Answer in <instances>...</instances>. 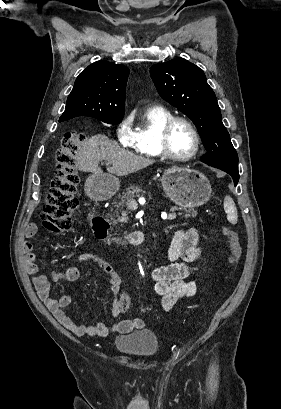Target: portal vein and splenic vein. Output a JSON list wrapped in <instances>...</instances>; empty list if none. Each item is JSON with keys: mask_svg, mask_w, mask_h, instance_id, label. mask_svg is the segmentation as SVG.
<instances>
[{"mask_svg": "<svg viewBox=\"0 0 281 409\" xmlns=\"http://www.w3.org/2000/svg\"><path fill=\"white\" fill-rule=\"evenodd\" d=\"M105 164H110V162H105ZM128 204H129L131 209H134L135 207H137V202L135 200H133V199L130 200ZM176 216H177L176 212H171L168 219H176Z\"/></svg>", "mask_w": 281, "mask_h": 409, "instance_id": "1", "label": "portal vein and splenic vein"}]
</instances>
